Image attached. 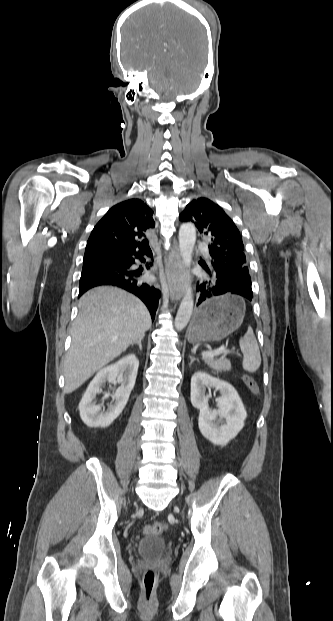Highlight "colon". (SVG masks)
<instances>
[{
	"mask_svg": "<svg viewBox=\"0 0 333 621\" xmlns=\"http://www.w3.org/2000/svg\"><path fill=\"white\" fill-rule=\"evenodd\" d=\"M244 383L247 388L253 392H258V386L256 381L249 375H245L243 377ZM167 530L166 523L162 521H157L146 525L144 527V533L148 535H161L165 533ZM156 581V575L153 570H147L144 574L143 578V598L146 602H150L152 600V595L154 592V586Z\"/></svg>",
	"mask_w": 333,
	"mask_h": 621,
	"instance_id": "colon-1",
	"label": "colon"
}]
</instances>
